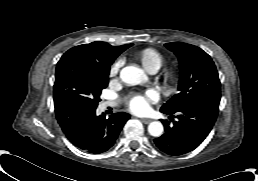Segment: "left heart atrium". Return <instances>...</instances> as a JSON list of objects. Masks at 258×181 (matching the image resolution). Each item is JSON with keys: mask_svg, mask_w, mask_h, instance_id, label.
<instances>
[{"mask_svg": "<svg viewBox=\"0 0 258 181\" xmlns=\"http://www.w3.org/2000/svg\"><path fill=\"white\" fill-rule=\"evenodd\" d=\"M157 100V95L154 91L149 90L144 94L133 96L128 103V107L135 113H145L149 110L150 103Z\"/></svg>", "mask_w": 258, "mask_h": 181, "instance_id": "obj_1", "label": "left heart atrium"}]
</instances>
